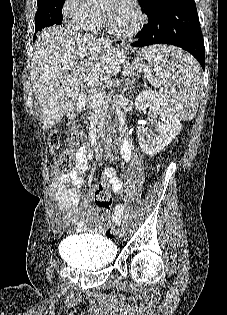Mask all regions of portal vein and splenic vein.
<instances>
[{
  "mask_svg": "<svg viewBox=\"0 0 227 315\" xmlns=\"http://www.w3.org/2000/svg\"><path fill=\"white\" fill-rule=\"evenodd\" d=\"M135 67H138L137 65ZM141 69V68H139ZM144 70L146 71V75L149 78V81H151V83H153L154 85H156L152 74L150 73V71L146 68H144ZM88 84L91 86L97 85L96 82L98 81V77H94L91 76L89 78H87ZM95 97L98 99V103L102 102V100L104 99V93L103 92H96Z\"/></svg>",
  "mask_w": 227,
  "mask_h": 315,
  "instance_id": "obj_1",
  "label": "portal vein and splenic vein"
}]
</instances>
